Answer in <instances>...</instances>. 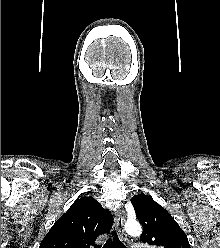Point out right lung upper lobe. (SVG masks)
Segmentation results:
<instances>
[{
	"instance_id": "cb5924a9",
	"label": "right lung upper lobe",
	"mask_w": 220,
	"mask_h": 248,
	"mask_svg": "<svg viewBox=\"0 0 220 248\" xmlns=\"http://www.w3.org/2000/svg\"><path fill=\"white\" fill-rule=\"evenodd\" d=\"M112 224V215L97 200L81 197L55 222L39 248H101L96 239Z\"/></svg>"
}]
</instances>
